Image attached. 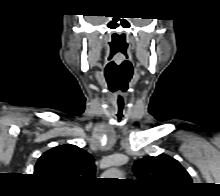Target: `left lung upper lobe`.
Segmentation results:
<instances>
[{
    "instance_id": "left-lung-upper-lobe-1",
    "label": "left lung upper lobe",
    "mask_w": 220,
    "mask_h": 196,
    "mask_svg": "<svg viewBox=\"0 0 220 196\" xmlns=\"http://www.w3.org/2000/svg\"><path fill=\"white\" fill-rule=\"evenodd\" d=\"M138 180L160 190L178 191L192 183L188 172L167 155L147 156L133 165Z\"/></svg>"
}]
</instances>
